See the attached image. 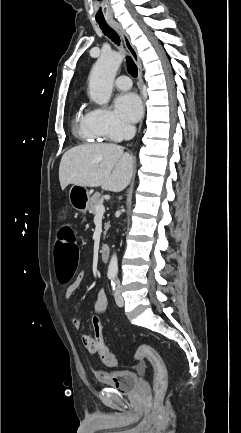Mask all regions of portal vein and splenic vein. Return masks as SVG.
I'll return each mask as SVG.
<instances>
[{
  "label": "portal vein and splenic vein",
  "mask_w": 241,
  "mask_h": 433,
  "mask_svg": "<svg viewBox=\"0 0 241 433\" xmlns=\"http://www.w3.org/2000/svg\"><path fill=\"white\" fill-rule=\"evenodd\" d=\"M104 212H105V207L103 204L96 206V214L97 215H103Z\"/></svg>",
  "instance_id": "portal-vein-and-splenic-vein-1"
}]
</instances>
